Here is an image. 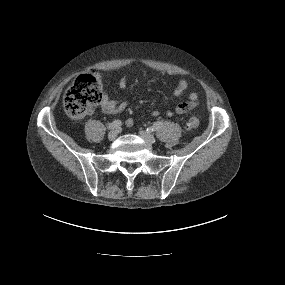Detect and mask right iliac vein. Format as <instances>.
Wrapping results in <instances>:
<instances>
[{
    "label": "right iliac vein",
    "instance_id": "63e3f726",
    "mask_svg": "<svg viewBox=\"0 0 285 285\" xmlns=\"http://www.w3.org/2000/svg\"><path fill=\"white\" fill-rule=\"evenodd\" d=\"M117 135H118L117 131H111V132H109V134H108V139H109L110 141H113V140L116 139Z\"/></svg>",
    "mask_w": 285,
    "mask_h": 285
}]
</instances>
